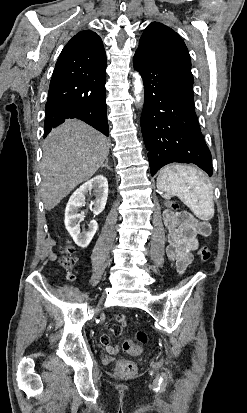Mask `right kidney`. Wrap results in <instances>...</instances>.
I'll use <instances>...</instances> for the list:
<instances>
[{
  "label": "right kidney",
  "mask_w": 247,
  "mask_h": 413,
  "mask_svg": "<svg viewBox=\"0 0 247 413\" xmlns=\"http://www.w3.org/2000/svg\"><path fill=\"white\" fill-rule=\"evenodd\" d=\"M92 188L95 190L96 198L91 202V204H94L91 211H93L94 215H100L105 209L108 196V180L103 174H96V176H93V178L81 184V186L71 194L65 209V227L73 241H75L76 245L81 247V249L88 247L98 229L96 221H90L87 231H83V233H81L79 225L81 215H78V211L80 207H83L86 194H88Z\"/></svg>",
  "instance_id": "right-kidney-1"
}]
</instances>
